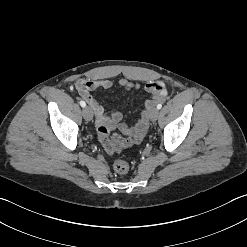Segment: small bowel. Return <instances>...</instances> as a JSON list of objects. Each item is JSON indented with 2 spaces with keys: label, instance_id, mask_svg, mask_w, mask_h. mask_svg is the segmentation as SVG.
Segmentation results:
<instances>
[{
  "label": "small bowel",
  "instance_id": "obj_1",
  "mask_svg": "<svg viewBox=\"0 0 247 247\" xmlns=\"http://www.w3.org/2000/svg\"><path fill=\"white\" fill-rule=\"evenodd\" d=\"M118 86L124 91L137 90L138 83L131 82L127 79H121ZM113 87V82L108 79H79L75 83V89L80 97H82L92 109L96 124L98 127L99 138L108 153H113L118 146L131 145L140 142L148 128L147 112L149 108L159 99L166 96V89L161 81L152 82L146 85V92L151 95L144 105L138 121L133 126H128L123 121V116L119 111L107 113L105 108L96 100L92 92L96 89H110ZM119 130L123 135H115L109 137L113 130Z\"/></svg>",
  "mask_w": 247,
  "mask_h": 247
}]
</instances>
